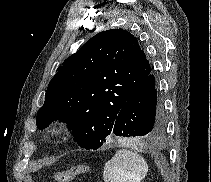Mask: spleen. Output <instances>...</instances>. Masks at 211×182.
<instances>
[{"label": "spleen", "mask_w": 211, "mask_h": 182, "mask_svg": "<svg viewBox=\"0 0 211 182\" xmlns=\"http://www.w3.org/2000/svg\"><path fill=\"white\" fill-rule=\"evenodd\" d=\"M148 172V165L136 152L120 149L105 163V182H141Z\"/></svg>", "instance_id": "spleen-1"}]
</instances>
